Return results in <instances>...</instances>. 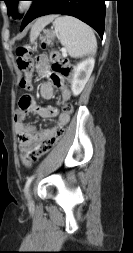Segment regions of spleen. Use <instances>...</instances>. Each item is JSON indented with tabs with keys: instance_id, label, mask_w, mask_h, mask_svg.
Wrapping results in <instances>:
<instances>
[{
	"instance_id": "spleen-1",
	"label": "spleen",
	"mask_w": 133,
	"mask_h": 253,
	"mask_svg": "<svg viewBox=\"0 0 133 253\" xmlns=\"http://www.w3.org/2000/svg\"><path fill=\"white\" fill-rule=\"evenodd\" d=\"M54 25L61 44L71 57H83L96 51L97 42L94 32L84 22L72 16H62L55 19Z\"/></svg>"
}]
</instances>
